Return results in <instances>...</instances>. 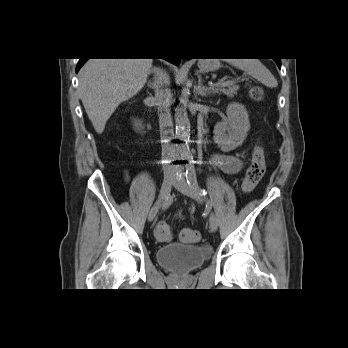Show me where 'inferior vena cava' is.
<instances>
[{"label": "inferior vena cava", "mask_w": 348, "mask_h": 348, "mask_svg": "<svg viewBox=\"0 0 348 348\" xmlns=\"http://www.w3.org/2000/svg\"><path fill=\"white\" fill-rule=\"evenodd\" d=\"M154 102L158 108L159 127L162 143V159L173 161L176 155V149L171 140L173 139V121L170 113V104L172 93L170 89V77L166 71L154 69ZM166 170L167 167L165 166Z\"/></svg>", "instance_id": "inferior-vena-cava-1"}]
</instances>
